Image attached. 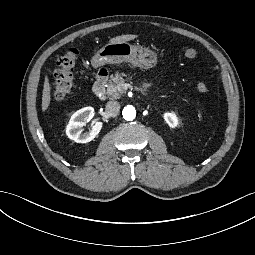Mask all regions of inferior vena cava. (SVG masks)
<instances>
[{
	"label": "inferior vena cava",
	"instance_id": "602c4592",
	"mask_svg": "<svg viewBox=\"0 0 255 255\" xmlns=\"http://www.w3.org/2000/svg\"><path fill=\"white\" fill-rule=\"evenodd\" d=\"M120 108L121 106L118 101L111 100V101H108L106 104V110L108 114L112 117L116 116L119 113Z\"/></svg>",
	"mask_w": 255,
	"mask_h": 255
}]
</instances>
